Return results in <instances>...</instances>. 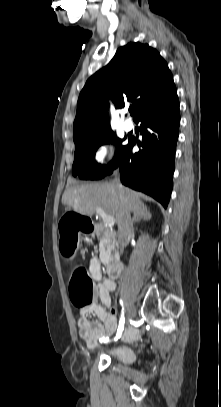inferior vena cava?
Here are the masks:
<instances>
[{"instance_id": "inferior-vena-cava-1", "label": "inferior vena cava", "mask_w": 221, "mask_h": 407, "mask_svg": "<svg viewBox=\"0 0 221 407\" xmlns=\"http://www.w3.org/2000/svg\"><path fill=\"white\" fill-rule=\"evenodd\" d=\"M113 183L117 186L118 191H119V198L121 202L124 203V193H123V187L120 184L119 177L117 176V172H115V178L113 180ZM134 233V228H133V219L131 218V212L129 208L124 205L121 213V219L118 223V242L119 244L124 247L128 244L130 237Z\"/></svg>"}]
</instances>
